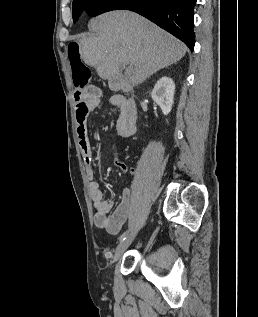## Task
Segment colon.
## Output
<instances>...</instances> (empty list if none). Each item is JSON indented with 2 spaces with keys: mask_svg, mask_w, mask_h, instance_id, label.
<instances>
[{
  "mask_svg": "<svg viewBox=\"0 0 258 317\" xmlns=\"http://www.w3.org/2000/svg\"><path fill=\"white\" fill-rule=\"evenodd\" d=\"M67 56L72 71L75 88L84 89L92 80L90 68L83 62L80 54V46L77 42H70L67 46Z\"/></svg>",
  "mask_w": 258,
  "mask_h": 317,
  "instance_id": "1",
  "label": "colon"
}]
</instances>
